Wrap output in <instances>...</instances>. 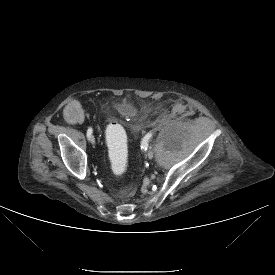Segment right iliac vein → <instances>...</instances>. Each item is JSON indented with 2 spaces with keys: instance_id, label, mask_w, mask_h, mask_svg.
I'll list each match as a JSON object with an SVG mask.
<instances>
[{
  "instance_id": "obj_1",
  "label": "right iliac vein",
  "mask_w": 275,
  "mask_h": 275,
  "mask_svg": "<svg viewBox=\"0 0 275 275\" xmlns=\"http://www.w3.org/2000/svg\"><path fill=\"white\" fill-rule=\"evenodd\" d=\"M89 141H90L92 144H94V143H95V138H94V136H93V135H91V136H90Z\"/></svg>"
}]
</instances>
